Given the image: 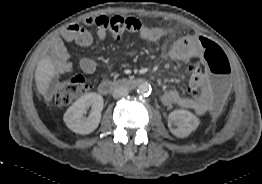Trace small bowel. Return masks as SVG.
I'll list each match as a JSON object with an SVG mask.
<instances>
[{
  "label": "small bowel",
  "instance_id": "obj_1",
  "mask_svg": "<svg viewBox=\"0 0 262 184\" xmlns=\"http://www.w3.org/2000/svg\"><path fill=\"white\" fill-rule=\"evenodd\" d=\"M89 20H85L86 25H89L86 23ZM164 35L165 31L160 27H144L140 31V37L148 44L160 41ZM61 36L62 38L56 39L53 44L55 67L60 74H68L72 71V65L62 39L68 42H75L82 47H89L93 40L91 35L78 24H71L66 27L62 31ZM97 36L100 40H104L106 32L102 29H97ZM197 38V36L192 34L185 35L179 38L169 50L170 58L180 61L188 60L185 64V73L188 79V89L193 94H199L203 91V83L209 75V70L204 65L207 64V60L203 58L195 46ZM79 67L84 73L92 74L96 70V63L91 58L85 57L80 60ZM161 100L166 106L177 105L190 109L198 115L205 114L209 107V98L207 95L190 97L181 95L176 90L164 92Z\"/></svg>",
  "mask_w": 262,
  "mask_h": 184
}]
</instances>
